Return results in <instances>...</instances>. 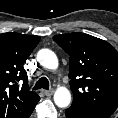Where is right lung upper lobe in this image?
Wrapping results in <instances>:
<instances>
[{"instance_id":"1","label":"right lung upper lobe","mask_w":118,"mask_h":118,"mask_svg":"<svg viewBox=\"0 0 118 118\" xmlns=\"http://www.w3.org/2000/svg\"><path fill=\"white\" fill-rule=\"evenodd\" d=\"M39 36L0 34V118H28L40 97L29 90L23 67Z\"/></svg>"}]
</instances>
